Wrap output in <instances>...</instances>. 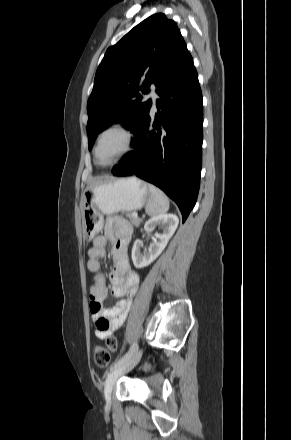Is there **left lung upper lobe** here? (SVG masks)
Returning <instances> with one entry per match:
<instances>
[{"label": "left lung upper lobe", "instance_id": "obj_1", "mask_svg": "<svg viewBox=\"0 0 291 440\" xmlns=\"http://www.w3.org/2000/svg\"><path fill=\"white\" fill-rule=\"evenodd\" d=\"M187 52L176 23L162 13L148 17L109 47L87 103L89 150L112 122L125 121L124 127L136 134L151 103L139 90L147 94L152 84L157 89Z\"/></svg>", "mask_w": 291, "mask_h": 440}]
</instances>
